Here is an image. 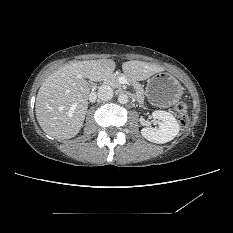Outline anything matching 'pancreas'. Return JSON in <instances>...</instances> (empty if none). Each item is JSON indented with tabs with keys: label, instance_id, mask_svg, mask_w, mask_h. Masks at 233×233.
Segmentation results:
<instances>
[{
	"label": "pancreas",
	"instance_id": "1",
	"mask_svg": "<svg viewBox=\"0 0 233 233\" xmlns=\"http://www.w3.org/2000/svg\"><path fill=\"white\" fill-rule=\"evenodd\" d=\"M121 76H122L121 73L111 74L110 76L107 77L106 84H108L112 88H121L122 85L119 82V78ZM128 80L133 85V87L136 91V94H137L138 98L140 99V102H142V98H143V94H144V90H143L142 86L138 82H136L132 79H128Z\"/></svg>",
	"mask_w": 233,
	"mask_h": 233
}]
</instances>
